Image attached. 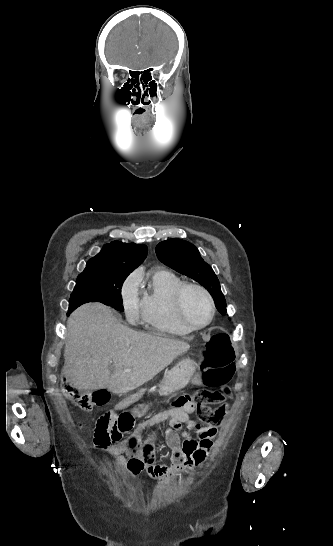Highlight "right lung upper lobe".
Here are the masks:
<instances>
[{
	"instance_id": "1",
	"label": "right lung upper lobe",
	"mask_w": 333,
	"mask_h": 546,
	"mask_svg": "<svg viewBox=\"0 0 333 546\" xmlns=\"http://www.w3.org/2000/svg\"><path fill=\"white\" fill-rule=\"evenodd\" d=\"M147 246L135 243L112 241L101 252L87 262L84 272L93 268L106 267L115 270L130 271L136 269L147 256Z\"/></svg>"
}]
</instances>
